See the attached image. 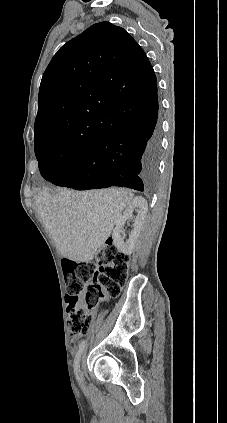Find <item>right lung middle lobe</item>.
Here are the masks:
<instances>
[{"mask_svg":"<svg viewBox=\"0 0 227 423\" xmlns=\"http://www.w3.org/2000/svg\"><path fill=\"white\" fill-rule=\"evenodd\" d=\"M34 146L39 165L50 164L63 170L89 152V148H73L57 139L38 140Z\"/></svg>","mask_w":227,"mask_h":423,"instance_id":"dd1d6c3e","label":"right lung middle lobe"}]
</instances>
